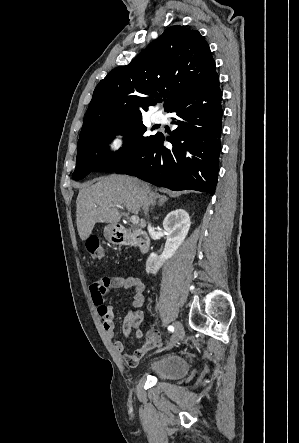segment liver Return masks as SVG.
Segmentation results:
<instances>
[{
    "label": "liver",
    "mask_w": 299,
    "mask_h": 443,
    "mask_svg": "<svg viewBox=\"0 0 299 443\" xmlns=\"http://www.w3.org/2000/svg\"><path fill=\"white\" fill-rule=\"evenodd\" d=\"M146 192L148 206H155L158 194L137 178L109 175L84 184L76 200V222L81 240H87L96 223L116 225L121 218L120 209L138 214L144 201L140 189Z\"/></svg>",
    "instance_id": "obj_1"
}]
</instances>
